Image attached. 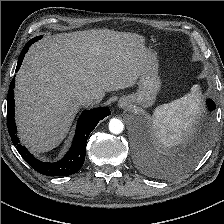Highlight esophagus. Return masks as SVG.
<instances>
[{
	"label": "esophagus",
	"instance_id": "1",
	"mask_svg": "<svg viewBox=\"0 0 224 224\" xmlns=\"http://www.w3.org/2000/svg\"><path fill=\"white\" fill-rule=\"evenodd\" d=\"M119 106L121 107V108H126V109H128L129 108V103L127 102V100H121L120 102H119Z\"/></svg>",
	"mask_w": 224,
	"mask_h": 224
}]
</instances>
